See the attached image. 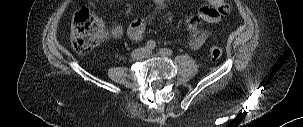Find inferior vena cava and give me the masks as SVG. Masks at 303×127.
I'll use <instances>...</instances> for the list:
<instances>
[{"instance_id": "inferior-vena-cava-1", "label": "inferior vena cava", "mask_w": 303, "mask_h": 127, "mask_svg": "<svg viewBox=\"0 0 303 127\" xmlns=\"http://www.w3.org/2000/svg\"><path fill=\"white\" fill-rule=\"evenodd\" d=\"M136 52H137L136 50L132 52V57H133L134 59L141 58L140 56H137V53H136Z\"/></svg>"}]
</instances>
